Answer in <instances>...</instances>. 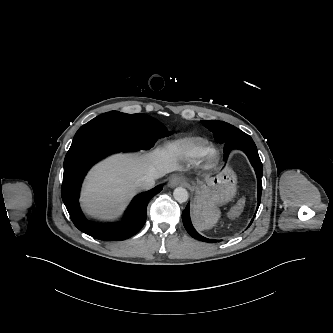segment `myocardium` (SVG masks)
<instances>
[{"mask_svg": "<svg viewBox=\"0 0 333 333\" xmlns=\"http://www.w3.org/2000/svg\"><path fill=\"white\" fill-rule=\"evenodd\" d=\"M218 157V151L211 145H206L199 155L202 163L209 165L212 164Z\"/></svg>", "mask_w": 333, "mask_h": 333, "instance_id": "f54148a6", "label": "myocardium"}]
</instances>
